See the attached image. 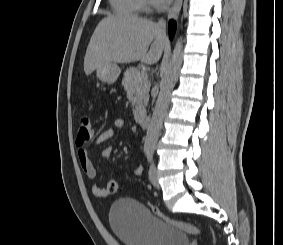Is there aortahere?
Listing matches in <instances>:
<instances>
[{"label":"aorta","instance_id":"aorta-1","mask_svg":"<svg viewBox=\"0 0 283 245\" xmlns=\"http://www.w3.org/2000/svg\"><path fill=\"white\" fill-rule=\"evenodd\" d=\"M182 39H178L174 47L169 65L160 83V91L156 101L152 119L148 125L144 142L145 151H154L164 117L167 113L171 93L182 65Z\"/></svg>","mask_w":283,"mask_h":245}]
</instances>
